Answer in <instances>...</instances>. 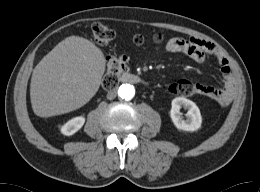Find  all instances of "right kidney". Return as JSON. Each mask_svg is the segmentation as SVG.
I'll return each instance as SVG.
<instances>
[{
  "label": "right kidney",
  "mask_w": 260,
  "mask_h": 192,
  "mask_svg": "<svg viewBox=\"0 0 260 192\" xmlns=\"http://www.w3.org/2000/svg\"><path fill=\"white\" fill-rule=\"evenodd\" d=\"M85 123V117L77 116L70 119L61 127V133L66 136L75 134Z\"/></svg>",
  "instance_id": "obj_1"
}]
</instances>
